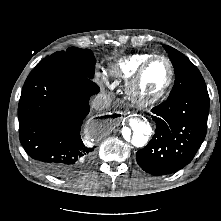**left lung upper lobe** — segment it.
Returning a JSON list of instances; mask_svg holds the SVG:
<instances>
[{
	"label": "left lung upper lobe",
	"instance_id": "left-lung-upper-lobe-1",
	"mask_svg": "<svg viewBox=\"0 0 221 221\" xmlns=\"http://www.w3.org/2000/svg\"><path fill=\"white\" fill-rule=\"evenodd\" d=\"M164 48L175 71V83L169 97L174 98L189 90L206 88L200 71L184 54L170 46Z\"/></svg>",
	"mask_w": 221,
	"mask_h": 221
}]
</instances>
